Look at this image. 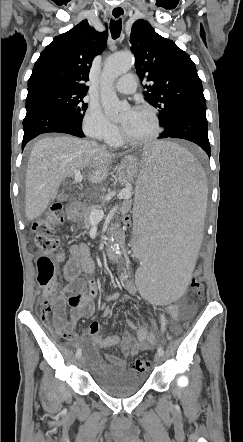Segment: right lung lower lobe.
Here are the masks:
<instances>
[{
	"label": "right lung lower lobe",
	"mask_w": 243,
	"mask_h": 442,
	"mask_svg": "<svg viewBox=\"0 0 243 442\" xmlns=\"http://www.w3.org/2000/svg\"><path fill=\"white\" fill-rule=\"evenodd\" d=\"M26 110L22 149L31 139L43 133L58 132L84 137L81 125L58 104L34 100L26 102Z\"/></svg>",
	"instance_id": "obj_1"
}]
</instances>
